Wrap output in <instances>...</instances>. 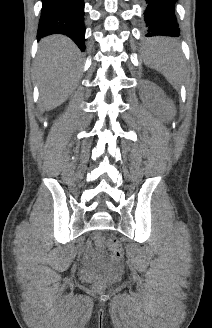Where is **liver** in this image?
<instances>
[{"label": "liver", "instance_id": "obj_1", "mask_svg": "<svg viewBox=\"0 0 212 328\" xmlns=\"http://www.w3.org/2000/svg\"><path fill=\"white\" fill-rule=\"evenodd\" d=\"M77 57V47L65 36L53 35L41 41L36 76L42 110L56 108L71 94L78 78Z\"/></svg>", "mask_w": 212, "mask_h": 328}]
</instances>
